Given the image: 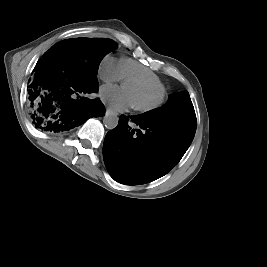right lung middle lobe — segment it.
I'll list each match as a JSON object with an SVG mask.
<instances>
[{"label": "right lung middle lobe", "mask_w": 267, "mask_h": 267, "mask_svg": "<svg viewBox=\"0 0 267 267\" xmlns=\"http://www.w3.org/2000/svg\"><path fill=\"white\" fill-rule=\"evenodd\" d=\"M117 43L107 38H71L60 41L44 54V60L58 63L78 82L95 85L101 60Z\"/></svg>", "instance_id": "right-lung-middle-lobe-1"}]
</instances>
